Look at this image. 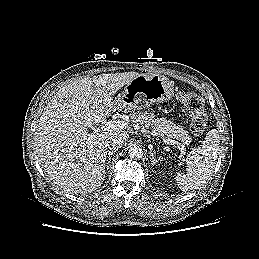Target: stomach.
<instances>
[{
  "label": "stomach",
  "instance_id": "1",
  "mask_svg": "<svg viewBox=\"0 0 259 259\" xmlns=\"http://www.w3.org/2000/svg\"><path fill=\"white\" fill-rule=\"evenodd\" d=\"M173 85L164 76L140 74L128 83L117 100L128 110H139L173 97Z\"/></svg>",
  "mask_w": 259,
  "mask_h": 259
}]
</instances>
